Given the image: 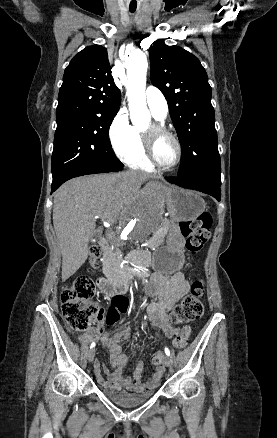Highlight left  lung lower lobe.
Here are the masks:
<instances>
[{
	"instance_id": "left-lung-lower-lobe-1",
	"label": "left lung lower lobe",
	"mask_w": 277,
	"mask_h": 438,
	"mask_svg": "<svg viewBox=\"0 0 277 438\" xmlns=\"http://www.w3.org/2000/svg\"><path fill=\"white\" fill-rule=\"evenodd\" d=\"M166 179L174 184L188 189L198 190L215 197L218 201L221 199V178L217 174H209L196 178L183 177H166Z\"/></svg>"
}]
</instances>
